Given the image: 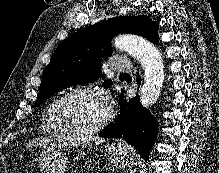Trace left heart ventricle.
<instances>
[{
	"mask_svg": "<svg viewBox=\"0 0 219 173\" xmlns=\"http://www.w3.org/2000/svg\"><path fill=\"white\" fill-rule=\"evenodd\" d=\"M106 112V104L99 96L81 93L68 99L64 106L63 116L70 127L87 129L97 125Z\"/></svg>",
	"mask_w": 219,
	"mask_h": 173,
	"instance_id": "left-heart-ventricle-1",
	"label": "left heart ventricle"
}]
</instances>
